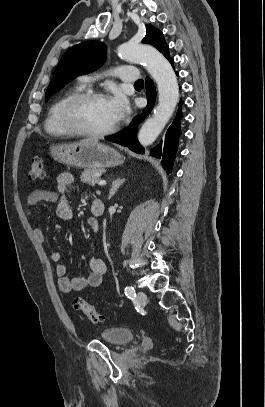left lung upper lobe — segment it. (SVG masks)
<instances>
[{
    "label": "left lung upper lobe",
    "instance_id": "1",
    "mask_svg": "<svg viewBox=\"0 0 265 407\" xmlns=\"http://www.w3.org/2000/svg\"><path fill=\"white\" fill-rule=\"evenodd\" d=\"M146 36L142 43L150 44L169 59V48L163 34L152 25H147ZM106 47L99 41H86L71 47L63 55L53 78L46 90V101L75 77L89 73L104 63Z\"/></svg>",
    "mask_w": 265,
    "mask_h": 407
}]
</instances>
